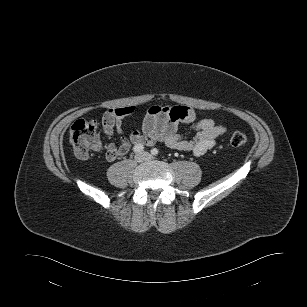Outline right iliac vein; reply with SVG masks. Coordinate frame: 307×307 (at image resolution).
<instances>
[{"label":"right iliac vein","instance_id":"obj_1","mask_svg":"<svg viewBox=\"0 0 307 307\" xmlns=\"http://www.w3.org/2000/svg\"><path fill=\"white\" fill-rule=\"evenodd\" d=\"M135 161L138 163H141L143 161H145V156L143 153H137L134 157Z\"/></svg>","mask_w":307,"mask_h":307}]
</instances>
